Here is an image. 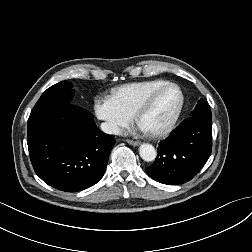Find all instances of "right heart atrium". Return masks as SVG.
I'll return each instance as SVG.
<instances>
[{"label": "right heart atrium", "mask_w": 252, "mask_h": 252, "mask_svg": "<svg viewBox=\"0 0 252 252\" xmlns=\"http://www.w3.org/2000/svg\"><path fill=\"white\" fill-rule=\"evenodd\" d=\"M95 114L102 121L103 129L118 134L132 121L133 116L123 110L110 96L96 97L93 103Z\"/></svg>", "instance_id": "d8ad5b80"}]
</instances>
